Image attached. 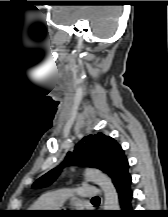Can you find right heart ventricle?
Listing matches in <instances>:
<instances>
[{
	"instance_id": "right-heart-ventricle-1",
	"label": "right heart ventricle",
	"mask_w": 168,
	"mask_h": 217,
	"mask_svg": "<svg viewBox=\"0 0 168 217\" xmlns=\"http://www.w3.org/2000/svg\"><path fill=\"white\" fill-rule=\"evenodd\" d=\"M31 209L33 211H41V210H49L53 208L50 205L43 202L42 199H39L31 206Z\"/></svg>"
}]
</instances>
